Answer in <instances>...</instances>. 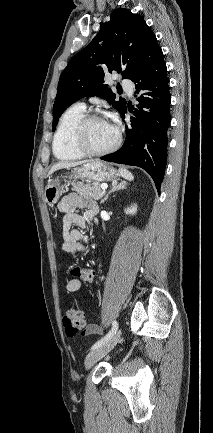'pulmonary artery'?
I'll use <instances>...</instances> for the list:
<instances>
[{
  "label": "pulmonary artery",
  "instance_id": "1",
  "mask_svg": "<svg viewBox=\"0 0 213 433\" xmlns=\"http://www.w3.org/2000/svg\"><path fill=\"white\" fill-rule=\"evenodd\" d=\"M122 86L127 91V93L131 96L132 93H133V88H134L133 83L130 80H128V79H123L122 80ZM76 105H78V106H80V107H82L84 109L86 107L85 103L82 102V101L78 102Z\"/></svg>",
  "mask_w": 213,
  "mask_h": 433
}]
</instances>
